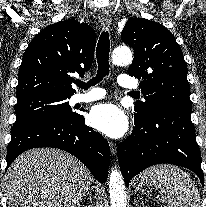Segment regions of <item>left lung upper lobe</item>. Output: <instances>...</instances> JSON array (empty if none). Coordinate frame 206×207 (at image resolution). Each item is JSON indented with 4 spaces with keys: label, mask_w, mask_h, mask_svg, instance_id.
Returning <instances> with one entry per match:
<instances>
[{
    "label": "left lung upper lobe",
    "mask_w": 206,
    "mask_h": 207,
    "mask_svg": "<svg viewBox=\"0 0 206 207\" xmlns=\"http://www.w3.org/2000/svg\"><path fill=\"white\" fill-rule=\"evenodd\" d=\"M122 40L134 49L129 75L141 79L145 102H136L134 119L145 121L154 106L192 110L187 65L179 44L163 25L132 18L125 24Z\"/></svg>",
    "instance_id": "1"
}]
</instances>
